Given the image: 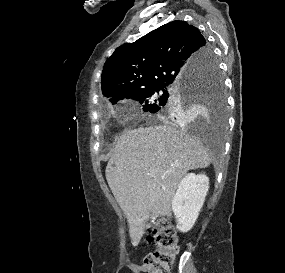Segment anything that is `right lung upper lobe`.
<instances>
[{
    "label": "right lung upper lobe",
    "mask_w": 285,
    "mask_h": 273,
    "mask_svg": "<svg viewBox=\"0 0 285 273\" xmlns=\"http://www.w3.org/2000/svg\"><path fill=\"white\" fill-rule=\"evenodd\" d=\"M209 49L200 31L187 22L162 25L115 50L102 71L103 95L115 104L159 85L172 86L187 73L192 79Z\"/></svg>",
    "instance_id": "right-lung-upper-lobe-1"
}]
</instances>
